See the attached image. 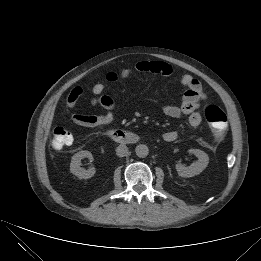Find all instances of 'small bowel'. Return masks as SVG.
I'll list each match as a JSON object with an SVG mask.
<instances>
[{"mask_svg": "<svg viewBox=\"0 0 261 261\" xmlns=\"http://www.w3.org/2000/svg\"><path fill=\"white\" fill-rule=\"evenodd\" d=\"M134 70L139 72H148L168 77L172 74L171 65L160 61H142L138 62ZM126 68L121 71L120 78L129 77L132 70ZM181 84L185 87V92L182 96L179 105L168 104L163 106L164 114L171 118H179L182 115H188L189 124L192 127H198L201 124V115L198 113L200 101L206 98L201 83L189 74H184L180 79ZM106 87L102 83L93 85L91 91L96 96L91 99L92 106H100L104 109L102 114H83L74 113L71 116L72 121L82 127H99L110 125L114 121L115 101L108 95H102ZM83 94V89L79 86L74 87L67 96V106L75 108L80 97ZM163 140L173 142L177 139V132L169 130L163 133Z\"/></svg>", "mask_w": 261, "mask_h": 261, "instance_id": "c3829d8e", "label": "small bowel"}]
</instances>
